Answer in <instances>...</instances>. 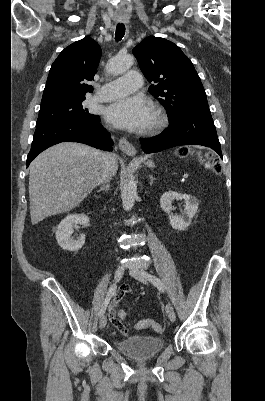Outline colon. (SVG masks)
I'll list each match as a JSON object with an SVG mask.
<instances>
[{"label":"colon","instance_id":"5ec220e1","mask_svg":"<svg viewBox=\"0 0 265 401\" xmlns=\"http://www.w3.org/2000/svg\"><path fill=\"white\" fill-rule=\"evenodd\" d=\"M190 151L186 148H182L178 151V155L180 157H185L188 155ZM212 170L215 173H219L220 172V166L219 164H217L216 162H213L212 165ZM127 317V313L120 309V310H114L112 313H110V319L112 324L118 328L120 330L121 333L123 334H127V329L125 328V326L122 324L121 320L125 319ZM135 327L137 329H146V328H152L154 331L156 332H162L163 328L162 326L157 323L156 321L153 320H149V319H143V320H139L136 322Z\"/></svg>","mask_w":265,"mask_h":401}]
</instances>
